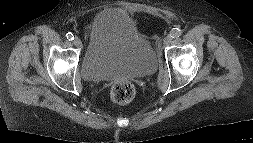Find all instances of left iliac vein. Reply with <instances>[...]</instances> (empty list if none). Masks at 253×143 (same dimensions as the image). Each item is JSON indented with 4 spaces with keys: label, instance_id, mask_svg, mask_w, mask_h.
<instances>
[{
    "label": "left iliac vein",
    "instance_id": "1",
    "mask_svg": "<svg viewBox=\"0 0 253 143\" xmlns=\"http://www.w3.org/2000/svg\"><path fill=\"white\" fill-rule=\"evenodd\" d=\"M171 42H172V37H171L170 35H167V36L164 38V40H163L164 46L170 45Z\"/></svg>",
    "mask_w": 253,
    "mask_h": 143
}]
</instances>
